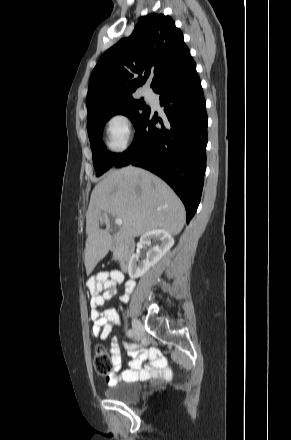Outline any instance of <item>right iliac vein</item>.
Masks as SVG:
<instances>
[{
	"label": "right iliac vein",
	"mask_w": 291,
	"mask_h": 440,
	"mask_svg": "<svg viewBox=\"0 0 291 440\" xmlns=\"http://www.w3.org/2000/svg\"><path fill=\"white\" fill-rule=\"evenodd\" d=\"M134 335L137 340H141L143 337V327L138 319L132 321Z\"/></svg>",
	"instance_id": "right-iliac-vein-1"
}]
</instances>
